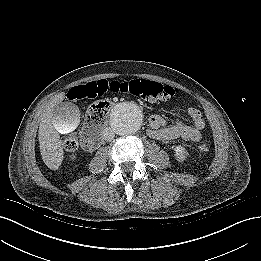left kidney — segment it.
Here are the masks:
<instances>
[{"label": "left kidney", "instance_id": "1", "mask_svg": "<svg viewBox=\"0 0 261 261\" xmlns=\"http://www.w3.org/2000/svg\"><path fill=\"white\" fill-rule=\"evenodd\" d=\"M174 156L175 158L179 161V162H183L188 155L187 150L181 146V145H177L174 147Z\"/></svg>", "mask_w": 261, "mask_h": 261}]
</instances>
